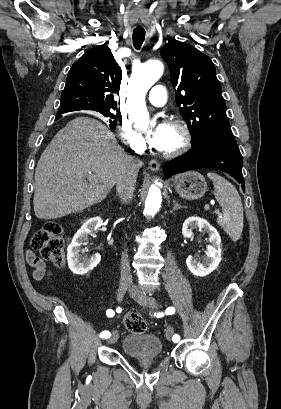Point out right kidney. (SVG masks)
Masks as SVG:
<instances>
[{
	"mask_svg": "<svg viewBox=\"0 0 281 409\" xmlns=\"http://www.w3.org/2000/svg\"><path fill=\"white\" fill-rule=\"evenodd\" d=\"M100 225H103L101 217H91L83 223L81 229L75 233L68 249L71 255V271L75 275H86L89 271H92L94 267H97L101 261L99 253L90 255V257H82L79 255L82 245H87L89 235L94 233Z\"/></svg>",
	"mask_w": 281,
	"mask_h": 409,
	"instance_id": "obj_1",
	"label": "right kidney"
}]
</instances>
